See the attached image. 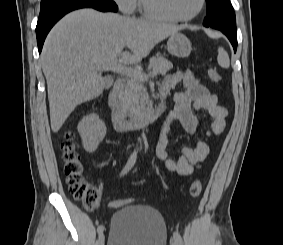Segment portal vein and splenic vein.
I'll return each instance as SVG.
<instances>
[{
    "instance_id": "18ae733b",
    "label": "portal vein and splenic vein",
    "mask_w": 283,
    "mask_h": 245,
    "mask_svg": "<svg viewBox=\"0 0 283 245\" xmlns=\"http://www.w3.org/2000/svg\"><path fill=\"white\" fill-rule=\"evenodd\" d=\"M102 68L105 70H110V71H114V72L126 75L131 78H138L144 81H147L149 77H154L158 74L156 71H152L149 75H146V74L141 73V71L135 68H132V67H128L127 65L119 63L116 60H113L103 65Z\"/></svg>"
}]
</instances>
